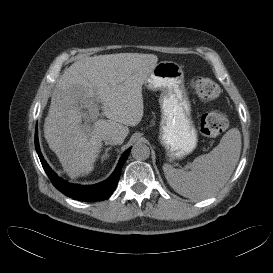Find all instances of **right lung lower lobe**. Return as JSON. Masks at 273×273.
Returning <instances> with one entry per match:
<instances>
[{"label":"right lung lower lobe","mask_w":273,"mask_h":273,"mask_svg":"<svg viewBox=\"0 0 273 273\" xmlns=\"http://www.w3.org/2000/svg\"><path fill=\"white\" fill-rule=\"evenodd\" d=\"M35 147L40 158V161L42 163V166L45 172L47 173L48 177L50 178L51 182L53 183V185L64 195L75 200L87 202L102 201L107 199L112 194L119 181L121 168L130 153V148L123 153L116 169L114 170L112 175L104 182L93 186H80L68 183L67 181L58 177L49 167V165L44 160L40 152L37 128L35 131Z\"/></svg>","instance_id":"obj_1"}]
</instances>
